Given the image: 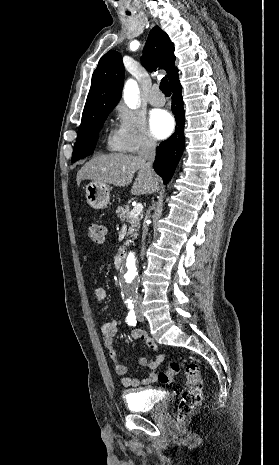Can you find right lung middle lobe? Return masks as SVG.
Instances as JSON below:
<instances>
[{
  "label": "right lung middle lobe",
  "instance_id": "right-lung-middle-lobe-1",
  "mask_svg": "<svg viewBox=\"0 0 279 465\" xmlns=\"http://www.w3.org/2000/svg\"><path fill=\"white\" fill-rule=\"evenodd\" d=\"M111 110L112 109H106L102 111L89 123L79 127L77 140L74 145L72 162L84 158L93 152L98 139V132L102 128Z\"/></svg>",
  "mask_w": 279,
  "mask_h": 465
}]
</instances>
